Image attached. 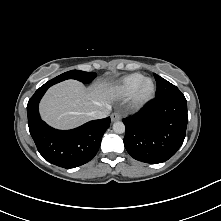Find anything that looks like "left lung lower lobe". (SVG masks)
I'll list each match as a JSON object with an SVG mask.
<instances>
[{
    "instance_id": "0a47b994",
    "label": "left lung lower lobe",
    "mask_w": 221,
    "mask_h": 221,
    "mask_svg": "<svg viewBox=\"0 0 221 221\" xmlns=\"http://www.w3.org/2000/svg\"><path fill=\"white\" fill-rule=\"evenodd\" d=\"M187 121V101L182 93L156 97L134 116L123 119L124 146L138 161L165 162L182 145Z\"/></svg>"
}]
</instances>
